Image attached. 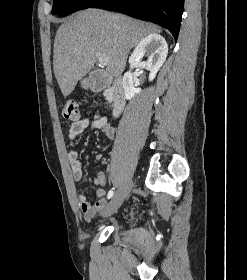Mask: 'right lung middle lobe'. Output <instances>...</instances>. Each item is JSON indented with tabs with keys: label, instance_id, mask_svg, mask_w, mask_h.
Returning a JSON list of instances; mask_svg holds the SVG:
<instances>
[{
	"label": "right lung middle lobe",
	"instance_id": "obj_1",
	"mask_svg": "<svg viewBox=\"0 0 247 280\" xmlns=\"http://www.w3.org/2000/svg\"><path fill=\"white\" fill-rule=\"evenodd\" d=\"M99 0H54L52 13L64 16L91 7Z\"/></svg>",
	"mask_w": 247,
	"mask_h": 280
}]
</instances>
